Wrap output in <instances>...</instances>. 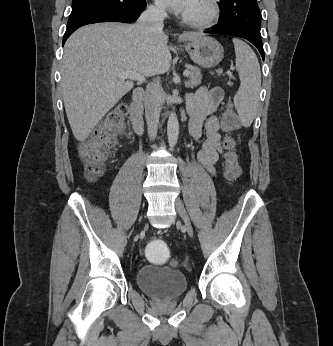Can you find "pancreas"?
<instances>
[{
  "mask_svg": "<svg viewBox=\"0 0 333 346\" xmlns=\"http://www.w3.org/2000/svg\"><path fill=\"white\" fill-rule=\"evenodd\" d=\"M216 72L218 73V75L222 74V70H220V69L217 70ZM201 81H202L201 73L197 70H192V71H190L189 79L185 82V86L187 88H194V87L200 85Z\"/></svg>",
  "mask_w": 333,
  "mask_h": 346,
  "instance_id": "obj_1",
  "label": "pancreas"
}]
</instances>
